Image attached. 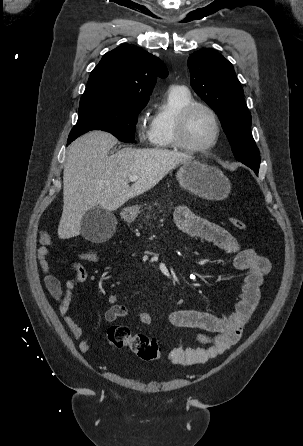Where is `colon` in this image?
Here are the masks:
<instances>
[{
  "label": "colon",
  "mask_w": 303,
  "mask_h": 446,
  "mask_svg": "<svg viewBox=\"0 0 303 446\" xmlns=\"http://www.w3.org/2000/svg\"><path fill=\"white\" fill-rule=\"evenodd\" d=\"M232 226L238 230H245L246 224L243 220L231 216L229 218ZM100 258V255L95 250H88L81 254V259L87 262H96ZM107 343L113 347L130 348L140 359L144 361H155L160 357L161 349L157 342L144 335V334H132L130 329L126 326H111L106 333Z\"/></svg>",
  "instance_id": "1"
}]
</instances>
